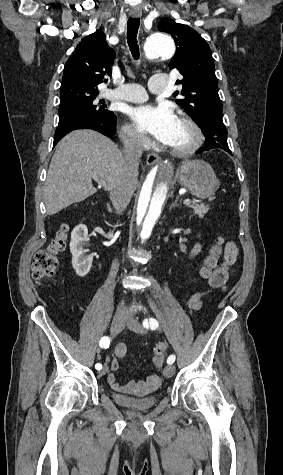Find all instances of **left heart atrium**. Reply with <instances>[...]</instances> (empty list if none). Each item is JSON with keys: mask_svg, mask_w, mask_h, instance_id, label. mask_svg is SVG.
<instances>
[{"mask_svg": "<svg viewBox=\"0 0 283 475\" xmlns=\"http://www.w3.org/2000/svg\"><path fill=\"white\" fill-rule=\"evenodd\" d=\"M129 115L138 130L165 143L172 139L177 117L168 104L138 106L132 108Z\"/></svg>", "mask_w": 283, "mask_h": 475, "instance_id": "obj_1", "label": "left heart atrium"}]
</instances>
